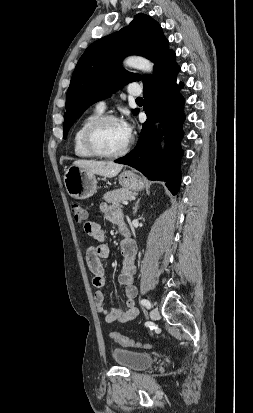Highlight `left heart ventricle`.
<instances>
[{"instance_id":"left-heart-ventricle-1","label":"left heart ventricle","mask_w":253,"mask_h":413,"mask_svg":"<svg viewBox=\"0 0 253 413\" xmlns=\"http://www.w3.org/2000/svg\"><path fill=\"white\" fill-rule=\"evenodd\" d=\"M128 138L119 122L110 121L101 126L95 134V142L101 151L112 153L121 150Z\"/></svg>"}]
</instances>
